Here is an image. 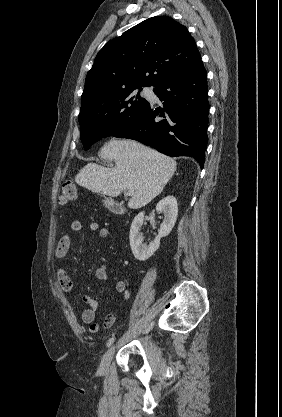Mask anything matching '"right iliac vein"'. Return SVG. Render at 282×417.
I'll return each instance as SVG.
<instances>
[{"mask_svg": "<svg viewBox=\"0 0 282 417\" xmlns=\"http://www.w3.org/2000/svg\"><path fill=\"white\" fill-rule=\"evenodd\" d=\"M114 353H115V346H111L103 355L100 366H99V370L101 373H105L108 370V367L110 365V362L113 358Z\"/></svg>", "mask_w": 282, "mask_h": 417, "instance_id": "63e3f726", "label": "right iliac vein"}]
</instances>
